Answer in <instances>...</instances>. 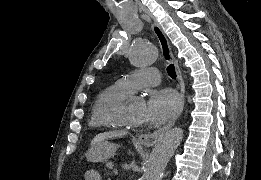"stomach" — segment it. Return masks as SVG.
Here are the masks:
<instances>
[{"label": "stomach", "instance_id": "obj_1", "mask_svg": "<svg viewBox=\"0 0 261 180\" xmlns=\"http://www.w3.org/2000/svg\"><path fill=\"white\" fill-rule=\"evenodd\" d=\"M118 145L108 142L107 140L100 141L91 146L86 153L87 161L89 162H105L117 151Z\"/></svg>", "mask_w": 261, "mask_h": 180}]
</instances>
